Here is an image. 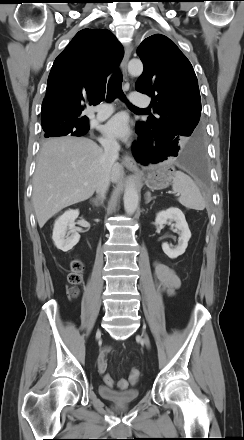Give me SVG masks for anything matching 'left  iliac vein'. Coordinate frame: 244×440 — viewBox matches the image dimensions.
Here are the masks:
<instances>
[{
    "instance_id": "left-iliac-vein-1",
    "label": "left iliac vein",
    "mask_w": 244,
    "mask_h": 440,
    "mask_svg": "<svg viewBox=\"0 0 244 440\" xmlns=\"http://www.w3.org/2000/svg\"><path fill=\"white\" fill-rule=\"evenodd\" d=\"M142 337H143L142 340H143L144 344L146 345L147 348H149L150 341H149V338L145 332H143Z\"/></svg>"
}]
</instances>
